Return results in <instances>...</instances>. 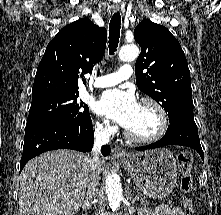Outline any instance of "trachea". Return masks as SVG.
Wrapping results in <instances>:
<instances>
[{
    "instance_id": "obj_1",
    "label": "trachea",
    "mask_w": 221,
    "mask_h": 215,
    "mask_svg": "<svg viewBox=\"0 0 221 215\" xmlns=\"http://www.w3.org/2000/svg\"><path fill=\"white\" fill-rule=\"evenodd\" d=\"M121 16L119 12L114 13L109 24V51L113 55L118 46L120 38Z\"/></svg>"
}]
</instances>
